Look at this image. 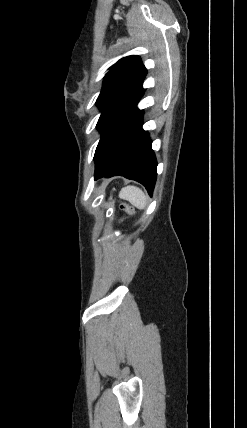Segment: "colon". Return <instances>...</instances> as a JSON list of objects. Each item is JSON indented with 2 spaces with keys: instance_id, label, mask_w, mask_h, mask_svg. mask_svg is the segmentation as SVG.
<instances>
[{
  "instance_id": "5ec220e1",
  "label": "colon",
  "mask_w": 247,
  "mask_h": 428,
  "mask_svg": "<svg viewBox=\"0 0 247 428\" xmlns=\"http://www.w3.org/2000/svg\"><path fill=\"white\" fill-rule=\"evenodd\" d=\"M120 209L125 212L126 214H132L133 209L127 204V203H121Z\"/></svg>"
}]
</instances>
